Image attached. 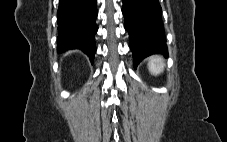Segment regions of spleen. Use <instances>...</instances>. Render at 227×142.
Segmentation results:
<instances>
[{
    "label": "spleen",
    "instance_id": "3e777b00",
    "mask_svg": "<svg viewBox=\"0 0 227 142\" xmlns=\"http://www.w3.org/2000/svg\"><path fill=\"white\" fill-rule=\"evenodd\" d=\"M148 69L153 75H159L164 70V61L160 56H152L148 59Z\"/></svg>",
    "mask_w": 227,
    "mask_h": 142
}]
</instances>
